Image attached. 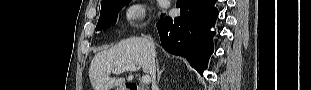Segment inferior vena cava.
I'll return each mask as SVG.
<instances>
[{"instance_id": "inferior-vena-cava-1", "label": "inferior vena cava", "mask_w": 311, "mask_h": 90, "mask_svg": "<svg viewBox=\"0 0 311 90\" xmlns=\"http://www.w3.org/2000/svg\"><path fill=\"white\" fill-rule=\"evenodd\" d=\"M148 39H149V41L152 42L151 36H148ZM148 58H149L150 60H153V59L155 58V54L150 53V54L148 55ZM155 74H156V67H155V64H154V68H153V72H152V80H153V83H155Z\"/></svg>"}]
</instances>
